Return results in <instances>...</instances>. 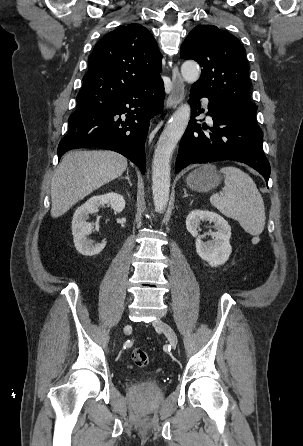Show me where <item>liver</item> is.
<instances>
[{"instance_id": "1", "label": "liver", "mask_w": 303, "mask_h": 446, "mask_svg": "<svg viewBox=\"0 0 303 446\" xmlns=\"http://www.w3.org/2000/svg\"><path fill=\"white\" fill-rule=\"evenodd\" d=\"M127 159L113 151H70L51 182V216L58 218L74 204L127 168Z\"/></svg>"}]
</instances>
